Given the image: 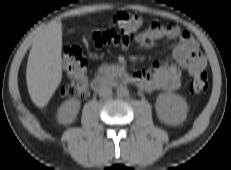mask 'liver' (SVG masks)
Wrapping results in <instances>:
<instances>
[{
  "label": "liver",
  "mask_w": 231,
  "mask_h": 170,
  "mask_svg": "<svg viewBox=\"0 0 231 170\" xmlns=\"http://www.w3.org/2000/svg\"><path fill=\"white\" fill-rule=\"evenodd\" d=\"M62 23L52 21L32 44L26 69V81L31 100L44 107L62 80Z\"/></svg>",
  "instance_id": "1"
}]
</instances>
